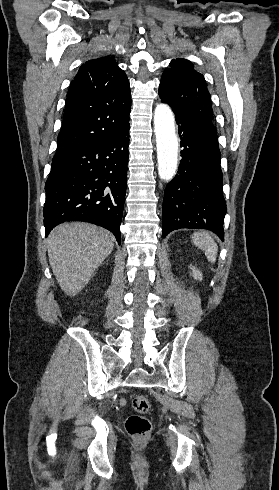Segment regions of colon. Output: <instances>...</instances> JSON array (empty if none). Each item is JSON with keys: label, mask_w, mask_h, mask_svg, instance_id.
I'll return each instance as SVG.
<instances>
[{"label": "colon", "mask_w": 279, "mask_h": 490, "mask_svg": "<svg viewBox=\"0 0 279 490\" xmlns=\"http://www.w3.org/2000/svg\"><path fill=\"white\" fill-rule=\"evenodd\" d=\"M133 412L127 416L126 431L132 442H149L151 422L145 416L150 409V401L146 396H135L132 399Z\"/></svg>", "instance_id": "obj_1"}]
</instances>
